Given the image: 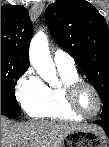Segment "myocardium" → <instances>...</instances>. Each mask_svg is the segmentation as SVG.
<instances>
[{
	"label": "myocardium",
	"mask_w": 109,
	"mask_h": 147,
	"mask_svg": "<svg viewBox=\"0 0 109 147\" xmlns=\"http://www.w3.org/2000/svg\"><path fill=\"white\" fill-rule=\"evenodd\" d=\"M83 87L90 89L97 99L96 111L91 115H87V114L83 113L78 106V102H77L78 94ZM65 96H66V101H67V104H68V107L70 108V110L74 114H76L77 116H79L81 118L91 119V118L95 117L101 110L102 100H101V96H100L99 92L92 84H90L80 78L76 79L66 85Z\"/></svg>",
	"instance_id": "f54148a6"
}]
</instances>
